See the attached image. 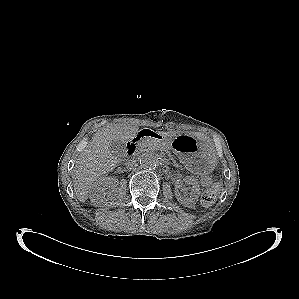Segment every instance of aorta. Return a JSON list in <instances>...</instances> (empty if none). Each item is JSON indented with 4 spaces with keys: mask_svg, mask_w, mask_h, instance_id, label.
<instances>
[{
    "mask_svg": "<svg viewBox=\"0 0 299 299\" xmlns=\"http://www.w3.org/2000/svg\"><path fill=\"white\" fill-rule=\"evenodd\" d=\"M140 162L145 169H154L159 165L160 158L157 154L150 152L143 154Z\"/></svg>",
    "mask_w": 299,
    "mask_h": 299,
    "instance_id": "1",
    "label": "aorta"
}]
</instances>
